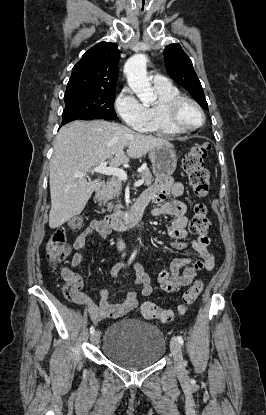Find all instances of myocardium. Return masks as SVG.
<instances>
[{
	"instance_id": "myocardium-1",
	"label": "myocardium",
	"mask_w": 266,
	"mask_h": 415,
	"mask_svg": "<svg viewBox=\"0 0 266 415\" xmlns=\"http://www.w3.org/2000/svg\"><path fill=\"white\" fill-rule=\"evenodd\" d=\"M185 103H189L193 105L199 111L201 118H202V121L200 124L195 125V126H190L182 122V120L180 119L179 113H180V109L182 105ZM162 108H163V114H164L166 121L173 128L179 131H182V132L194 131V130L201 128L205 124L206 116H205V112L203 108L200 106V104L197 101H195L194 99L188 96L181 95V94L174 96L166 100L163 103Z\"/></svg>"
}]
</instances>
